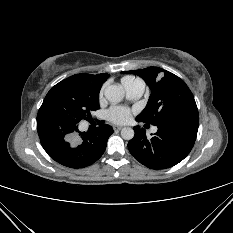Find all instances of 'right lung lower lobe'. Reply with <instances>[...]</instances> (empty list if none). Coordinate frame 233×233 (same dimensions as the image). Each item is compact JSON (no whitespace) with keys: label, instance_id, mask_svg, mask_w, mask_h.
<instances>
[{"label":"right lung lower lobe","instance_id":"obj_1","mask_svg":"<svg viewBox=\"0 0 233 233\" xmlns=\"http://www.w3.org/2000/svg\"><path fill=\"white\" fill-rule=\"evenodd\" d=\"M37 131L42 147L52 159L70 168H83L102 156L113 128L102 122L91 133L80 132L77 124L60 126L45 120L37 122Z\"/></svg>","mask_w":233,"mask_h":233}]
</instances>
